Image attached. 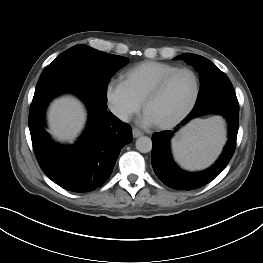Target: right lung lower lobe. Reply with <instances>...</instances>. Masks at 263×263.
I'll return each instance as SVG.
<instances>
[{"mask_svg": "<svg viewBox=\"0 0 263 263\" xmlns=\"http://www.w3.org/2000/svg\"><path fill=\"white\" fill-rule=\"evenodd\" d=\"M73 92L87 105V128L74 145L63 146L46 132L45 111L55 96ZM33 149L43 172L69 191L90 192L110 177L122 147L132 141L131 127L107 111L106 104L87 91L63 89L34 99L29 112Z\"/></svg>", "mask_w": 263, "mask_h": 263, "instance_id": "obj_1", "label": "right lung lower lobe"}]
</instances>
